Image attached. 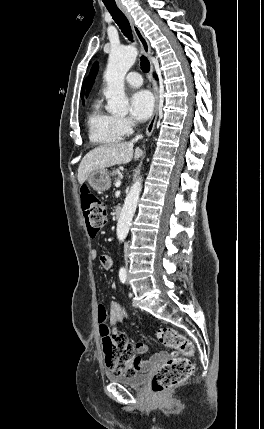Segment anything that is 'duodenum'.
I'll list each match as a JSON object with an SVG mask.
<instances>
[{"label":"duodenum","instance_id":"1","mask_svg":"<svg viewBox=\"0 0 264 429\" xmlns=\"http://www.w3.org/2000/svg\"><path fill=\"white\" fill-rule=\"evenodd\" d=\"M115 216H116L117 219H119L121 217V209L120 208H117L115 210Z\"/></svg>","mask_w":264,"mask_h":429}]
</instances>
